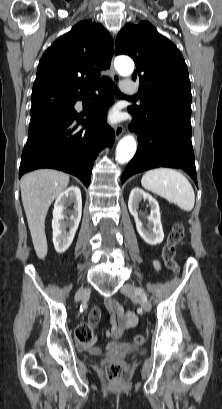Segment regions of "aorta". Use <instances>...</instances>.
<instances>
[{
  "mask_svg": "<svg viewBox=\"0 0 222 409\" xmlns=\"http://www.w3.org/2000/svg\"><path fill=\"white\" fill-rule=\"evenodd\" d=\"M115 69L122 76H129L134 71L133 61L124 56L117 57L114 62ZM137 150L135 138L131 135L123 137L116 148V161L119 164L128 163Z\"/></svg>",
  "mask_w": 222,
  "mask_h": 409,
  "instance_id": "aorta-1",
  "label": "aorta"
}]
</instances>
